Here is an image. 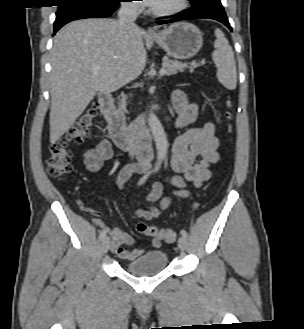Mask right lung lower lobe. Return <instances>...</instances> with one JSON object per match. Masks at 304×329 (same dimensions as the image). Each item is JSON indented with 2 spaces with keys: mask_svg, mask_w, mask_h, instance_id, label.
Here are the masks:
<instances>
[{
  "mask_svg": "<svg viewBox=\"0 0 304 329\" xmlns=\"http://www.w3.org/2000/svg\"><path fill=\"white\" fill-rule=\"evenodd\" d=\"M119 7V1L112 5H73L62 8L56 13L54 34L70 21L84 18H104L110 16Z\"/></svg>",
  "mask_w": 304,
  "mask_h": 329,
  "instance_id": "right-lung-lower-lobe-1",
  "label": "right lung lower lobe"
}]
</instances>
